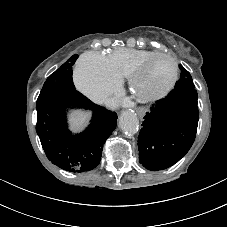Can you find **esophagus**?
I'll return each mask as SVG.
<instances>
[{"label": "esophagus", "mask_w": 227, "mask_h": 227, "mask_svg": "<svg viewBox=\"0 0 227 227\" xmlns=\"http://www.w3.org/2000/svg\"><path fill=\"white\" fill-rule=\"evenodd\" d=\"M137 112H138L139 117L142 118L145 115L146 111L144 109H139Z\"/></svg>", "instance_id": "1"}]
</instances>
